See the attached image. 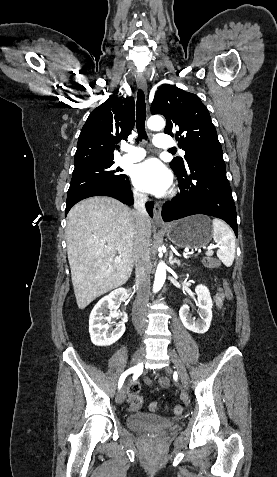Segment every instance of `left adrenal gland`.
Returning <instances> with one entry per match:
<instances>
[{"label":"left adrenal gland","instance_id":"1","mask_svg":"<svg viewBox=\"0 0 277 477\" xmlns=\"http://www.w3.org/2000/svg\"><path fill=\"white\" fill-rule=\"evenodd\" d=\"M169 263H170L171 266H173L174 264H177L178 266H180V260H177L176 258H173V253L172 252H170Z\"/></svg>","mask_w":277,"mask_h":477}]
</instances>
